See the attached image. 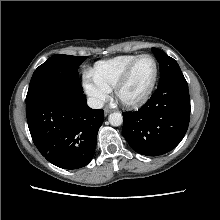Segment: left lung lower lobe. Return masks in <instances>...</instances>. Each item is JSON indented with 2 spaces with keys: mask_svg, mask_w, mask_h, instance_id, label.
I'll use <instances>...</instances> for the list:
<instances>
[{
  "mask_svg": "<svg viewBox=\"0 0 220 220\" xmlns=\"http://www.w3.org/2000/svg\"><path fill=\"white\" fill-rule=\"evenodd\" d=\"M122 114V134L137 153L158 156L171 151L185 136L190 120V96L184 76L158 85L142 108Z\"/></svg>",
  "mask_w": 220,
  "mask_h": 220,
  "instance_id": "0a47b994",
  "label": "left lung lower lobe"
}]
</instances>
